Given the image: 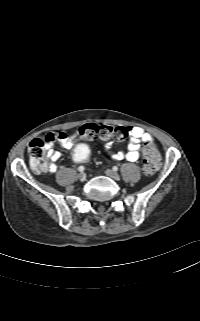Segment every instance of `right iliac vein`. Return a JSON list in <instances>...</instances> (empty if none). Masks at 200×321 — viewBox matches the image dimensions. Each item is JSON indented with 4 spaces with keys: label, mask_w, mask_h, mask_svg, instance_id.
<instances>
[{
    "label": "right iliac vein",
    "mask_w": 200,
    "mask_h": 321,
    "mask_svg": "<svg viewBox=\"0 0 200 321\" xmlns=\"http://www.w3.org/2000/svg\"><path fill=\"white\" fill-rule=\"evenodd\" d=\"M78 179H79L80 181H85V180H86V174L83 173V172L79 173V174H78Z\"/></svg>",
    "instance_id": "1"
}]
</instances>
